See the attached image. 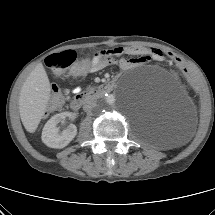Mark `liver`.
Returning a JSON list of instances; mask_svg holds the SVG:
<instances>
[{
	"mask_svg": "<svg viewBox=\"0 0 215 215\" xmlns=\"http://www.w3.org/2000/svg\"><path fill=\"white\" fill-rule=\"evenodd\" d=\"M51 86L42 63L36 65L24 82L19 96V113L25 129L34 133L50 99Z\"/></svg>",
	"mask_w": 215,
	"mask_h": 215,
	"instance_id": "6515ba94",
	"label": "liver"
}]
</instances>
